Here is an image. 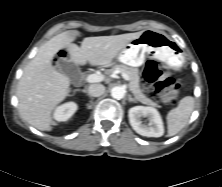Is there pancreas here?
Instances as JSON below:
<instances>
[{
	"label": "pancreas",
	"instance_id": "obj_1",
	"mask_svg": "<svg viewBox=\"0 0 222 187\" xmlns=\"http://www.w3.org/2000/svg\"><path fill=\"white\" fill-rule=\"evenodd\" d=\"M118 70L121 73H126L129 76V88L133 93L135 99L142 104L159 107L157 103L153 102L151 99L147 98L142 90L140 89L139 81V70L137 68L128 67L126 65H115L111 71Z\"/></svg>",
	"mask_w": 222,
	"mask_h": 187
}]
</instances>
